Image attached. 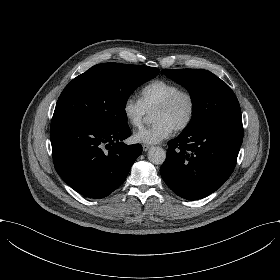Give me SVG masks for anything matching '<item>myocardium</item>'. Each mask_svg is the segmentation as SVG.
I'll return each mask as SVG.
<instances>
[{"label": "myocardium", "instance_id": "f54148a6", "mask_svg": "<svg viewBox=\"0 0 280 280\" xmlns=\"http://www.w3.org/2000/svg\"><path fill=\"white\" fill-rule=\"evenodd\" d=\"M181 97H187L190 101V111L187 118L175 127L177 131L188 129L194 122L197 114V98L193 91L186 88H180L169 98L161 102L155 110H165L173 107Z\"/></svg>", "mask_w": 280, "mask_h": 280}]
</instances>
